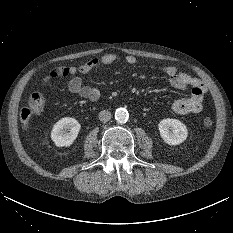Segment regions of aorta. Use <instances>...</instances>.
I'll return each mask as SVG.
<instances>
[{
	"mask_svg": "<svg viewBox=\"0 0 233 233\" xmlns=\"http://www.w3.org/2000/svg\"><path fill=\"white\" fill-rule=\"evenodd\" d=\"M129 118V113L125 108H118L115 111V119L120 122L124 123L128 120Z\"/></svg>",
	"mask_w": 233,
	"mask_h": 233,
	"instance_id": "762f6f07",
	"label": "aorta"
}]
</instances>
